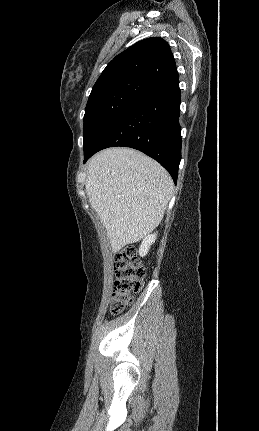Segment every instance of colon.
Instances as JSON below:
<instances>
[{
  "label": "colon",
  "instance_id": "colon-1",
  "mask_svg": "<svg viewBox=\"0 0 259 431\" xmlns=\"http://www.w3.org/2000/svg\"><path fill=\"white\" fill-rule=\"evenodd\" d=\"M114 270L116 279L112 291L110 311L116 315L130 305L134 294L141 290L146 270L133 246H126L116 253Z\"/></svg>",
  "mask_w": 259,
  "mask_h": 431
}]
</instances>
